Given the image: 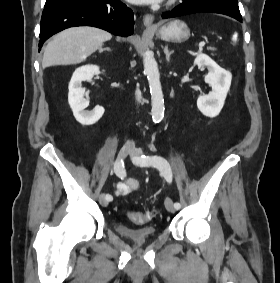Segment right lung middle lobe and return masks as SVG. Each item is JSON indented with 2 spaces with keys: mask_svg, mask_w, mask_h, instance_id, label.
Returning <instances> with one entry per match:
<instances>
[{
  "mask_svg": "<svg viewBox=\"0 0 280 283\" xmlns=\"http://www.w3.org/2000/svg\"><path fill=\"white\" fill-rule=\"evenodd\" d=\"M57 1H61V0H46L45 5H49V4H52V3L57 2Z\"/></svg>",
  "mask_w": 280,
  "mask_h": 283,
  "instance_id": "dd1d6c3e",
  "label": "right lung middle lobe"
}]
</instances>
